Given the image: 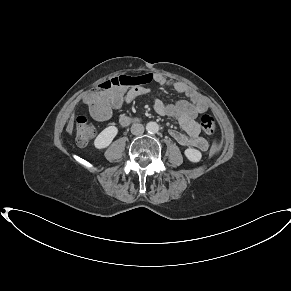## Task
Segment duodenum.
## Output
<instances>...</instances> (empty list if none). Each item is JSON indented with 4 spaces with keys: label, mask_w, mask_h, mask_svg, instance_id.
Wrapping results in <instances>:
<instances>
[{
    "label": "duodenum",
    "mask_w": 291,
    "mask_h": 291,
    "mask_svg": "<svg viewBox=\"0 0 291 291\" xmlns=\"http://www.w3.org/2000/svg\"><path fill=\"white\" fill-rule=\"evenodd\" d=\"M137 121H138L137 118H133V117H131V116H123V117L121 118V124H122L123 126H128V125H130V124H132V123H135V122H137Z\"/></svg>",
    "instance_id": "410a0bca"
}]
</instances>
